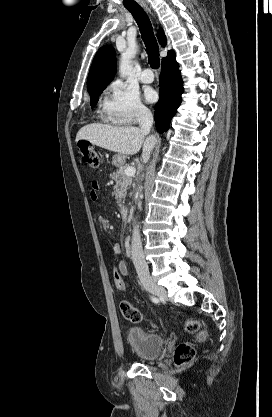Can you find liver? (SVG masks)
Segmentation results:
<instances>
[{
  "label": "liver",
  "instance_id": "6515ba94",
  "mask_svg": "<svg viewBox=\"0 0 272 417\" xmlns=\"http://www.w3.org/2000/svg\"><path fill=\"white\" fill-rule=\"evenodd\" d=\"M147 134L148 132L134 126H111L94 123L86 125L78 131L76 142L88 140L94 145L123 155H134L142 147V159L144 163H147L150 153L158 141L153 135L145 139Z\"/></svg>",
  "mask_w": 272,
  "mask_h": 417
}]
</instances>
